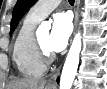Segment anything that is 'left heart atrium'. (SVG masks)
I'll use <instances>...</instances> for the list:
<instances>
[{"label": "left heart atrium", "mask_w": 107, "mask_h": 89, "mask_svg": "<svg viewBox=\"0 0 107 89\" xmlns=\"http://www.w3.org/2000/svg\"><path fill=\"white\" fill-rule=\"evenodd\" d=\"M72 32L71 18L67 13L54 16L48 46L53 52H60L67 46Z\"/></svg>", "instance_id": "39dd6f15"}]
</instances>
